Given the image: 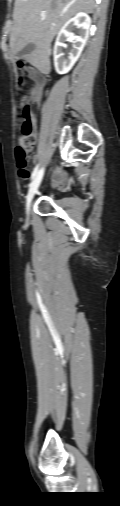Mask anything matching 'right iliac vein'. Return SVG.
I'll list each match as a JSON object with an SVG mask.
<instances>
[{"mask_svg": "<svg viewBox=\"0 0 120 506\" xmlns=\"http://www.w3.org/2000/svg\"><path fill=\"white\" fill-rule=\"evenodd\" d=\"M43 176V175H42ZM42 176H37L33 181L32 183L30 184V187H29V190H28V194H27V197H26V213L27 215H29L30 213V209H31V204H32V200L34 198V195L41 183V180H42Z\"/></svg>", "mask_w": 120, "mask_h": 506, "instance_id": "right-iliac-vein-1", "label": "right iliac vein"}]
</instances>
